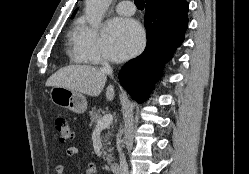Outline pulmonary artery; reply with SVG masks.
Instances as JSON below:
<instances>
[{
    "label": "pulmonary artery",
    "instance_id": "pulmonary-artery-1",
    "mask_svg": "<svg viewBox=\"0 0 249 174\" xmlns=\"http://www.w3.org/2000/svg\"><path fill=\"white\" fill-rule=\"evenodd\" d=\"M116 11L123 15H133L135 12V5L132 1H122L117 4Z\"/></svg>",
    "mask_w": 249,
    "mask_h": 174
}]
</instances>
